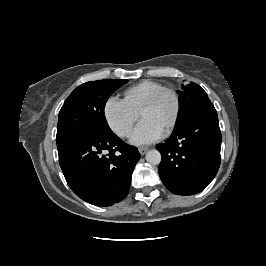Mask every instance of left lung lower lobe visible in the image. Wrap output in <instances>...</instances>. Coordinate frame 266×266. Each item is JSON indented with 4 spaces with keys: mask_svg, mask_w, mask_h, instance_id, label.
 I'll return each instance as SVG.
<instances>
[{
    "mask_svg": "<svg viewBox=\"0 0 266 266\" xmlns=\"http://www.w3.org/2000/svg\"><path fill=\"white\" fill-rule=\"evenodd\" d=\"M156 148L162 156L159 175L169 191L178 195L201 192L216 176L221 162V132L214 105L197 109Z\"/></svg>",
    "mask_w": 266,
    "mask_h": 266,
    "instance_id": "1",
    "label": "left lung lower lobe"
}]
</instances>
